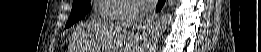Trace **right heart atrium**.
<instances>
[{"mask_svg":"<svg viewBox=\"0 0 261 52\" xmlns=\"http://www.w3.org/2000/svg\"><path fill=\"white\" fill-rule=\"evenodd\" d=\"M104 4L116 6L107 16L114 18H132L136 15L135 6L128 0H102Z\"/></svg>","mask_w":261,"mask_h":52,"instance_id":"right-heart-atrium-1","label":"right heart atrium"}]
</instances>
